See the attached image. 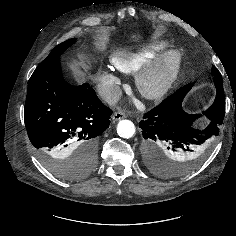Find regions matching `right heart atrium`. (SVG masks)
<instances>
[{
	"label": "right heart atrium",
	"instance_id": "d8ad5b80",
	"mask_svg": "<svg viewBox=\"0 0 236 236\" xmlns=\"http://www.w3.org/2000/svg\"><path fill=\"white\" fill-rule=\"evenodd\" d=\"M96 83L101 98L112 103L119 96V78L110 68L100 70L96 75Z\"/></svg>",
	"mask_w": 236,
	"mask_h": 236
}]
</instances>
